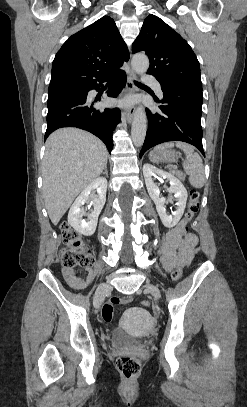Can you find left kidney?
<instances>
[{
	"mask_svg": "<svg viewBox=\"0 0 247 407\" xmlns=\"http://www.w3.org/2000/svg\"><path fill=\"white\" fill-rule=\"evenodd\" d=\"M143 175L145 178V184L149 196L156 205V210L160 216L163 225L168 228L174 227L181 219L186 207V201L188 197L186 188L184 187L182 182L174 175L162 171L149 163L144 164ZM153 177L158 179L159 178L167 179L170 183V188H168V191L174 194V198L173 196H171L168 200H166L164 197H161L159 187L157 186V184L154 183ZM172 199L177 200L176 202L177 210L172 215H168L166 213L165 204L168 201H171Z\"/></svg>",
	"mask_w": 247,
	"mask_h": 407,
	"instance_id": "left-kidney-1",
	"label": "left kidney"
}]
</instances>
